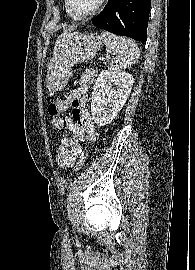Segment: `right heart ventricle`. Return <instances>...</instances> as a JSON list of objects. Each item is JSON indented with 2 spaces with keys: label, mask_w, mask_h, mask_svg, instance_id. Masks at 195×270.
Segmentation results:
<instances>
[{
  "label": "right heart ventricle",
  "mask_w": 195,
  "mask_h": 270,
  "mask_svg": "<svg viewBox=\"0 0 195 270\" xmlns=\"http://www.w3.org/2000/svg\"><path fill=\"white\" fill-rule=\"evenodd\" d=\"M66 11H67V9H66ZM67 13H68V11H67ZM68 15L70 16V17H72L69 13H68ZM73 18V17H72ZM73 19H75V18H73Z\"/></svg>",
  "instance_id": "1"
}]
</instances>
